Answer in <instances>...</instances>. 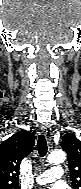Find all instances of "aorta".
Masks as SVG:
<instances>
[{
  "label": "aorta",
  "mask_w": 81,
  "mask_h": 189,
  "mask_svg": "<svg viewBox=\"0 0 81 189\" xmlns=\"http://www.w3.org/2000/svg\"><path fill=\"white\" fill-rule=\"evenodd\" d=\"M66 154L62 150L52 151L48 156V161L54 164H61L65 161Z\"/></svg>",
  "instance_id": "1"
}]
</instances>
